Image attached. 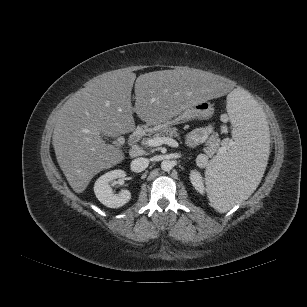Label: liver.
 Instances as JSON below:
<instances>
[{
  "instance_id": "1",
  "label": "liver",
  "mask_w": 307,
  "mask_h": 307,
  "mask_svg": "<svg viewBox=\"0 0 307 307\" xmlns=\"http://www.w3.org/2000/svg\"><path fill=\"white\" fill-rule=\"evenodd\" d=\"M135 82V106L131 91ZM229 86L196 69L154 71L140 75L124 70L102 74L77 91L60 109L52 144L69 185L82 193L91 179L124 159L101 134L118 137L135 129L133 112L145 122L165 120L199 101L225 96Z\"/></svg>"
}]
</instances>
